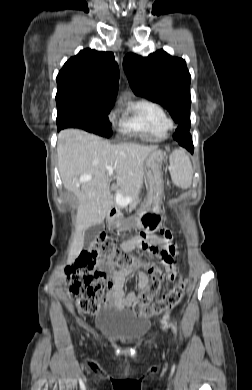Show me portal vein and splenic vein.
<instances>
[{
    "label": "portal vein and splenic vein",
    "instance_id": "portal-vein-and-splenic-vein-1",
    "mask_svg": "<svg viewBox=\"0 0 252 390\" xmlns=\"http://www.w3.org/2000/svg\"><path fill=\"white\" fill-rule=\"evenodd\" d=\"M106 168L109 171L112 170V167H110V166H107ZM91 179H92L91 175H83L79 178V181L86 182V181H90ZM131 200H132V198H130V197L123 198L120 194H117V196H116V201L118 204L125 205V204H128Z\"/></svg>",
    "mask_w": 252,
    "mask_h": 390
}]
</instances>
